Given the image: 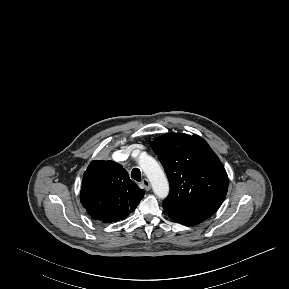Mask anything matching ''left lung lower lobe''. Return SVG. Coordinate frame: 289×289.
Masks as SVG:
<instances>
[{
    "label": "left lung lower lobe",
    "mask_w": 289,
    "mask_h": 289,
    "mask_svg": "<svg viewBox=\"0 0 289 289\" xmlns=\"http://www.w3.org/2000/svg\"><path fill=\"white\" fill-rule=\"evenodd\" d=\"M163 207L166 211V213L176 222L184 224V225H196L208 218L207 216H204L199 213L170 207L168 205L163 204Z\"/></svg>",
    "instance_id": "obj_1"
}]
</instances>
